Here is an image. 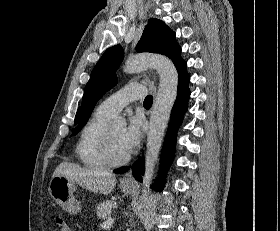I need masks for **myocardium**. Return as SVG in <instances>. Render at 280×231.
<instances>
[{
  "mask_svg": "<svg viewBox=\"0 0 280 231\" xmlns=\"http://www.w3.org/2000/svg\"><path fill=\"white\" fill-rule=\"evenodd\" d=\"M101 152L103 158L110 166H119L126 163L129 160L128 155H124L122 157L114 156L112 152V147L110 143V132L109 127L107 126L103 132L102 139H101Z\"/></svg>",
  "mask_w": 280,
  "mask_h": 231,
  "instance_id": "myocardium-1",
  "label": "myocardium"
}]
</instances>
